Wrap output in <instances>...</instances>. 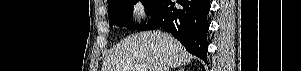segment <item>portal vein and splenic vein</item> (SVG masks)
Returning a JSON list of instances; mask_svg holds the SVG:
<instances>
[{"instance_id":"18ae733b","label":"portal vein and splenic vein","mask_w":301,"mask_h":71,"mask_svg":"<svg viewBox=\"0 0 301 71\" xmlns=\"http://www.w3.org/2000/svg\"><path fill=\"white\" fill-rule=\"evenodd\" d=\"M134 68H136L138 71H148V69L144 65H135Z\"/></svg>"}]
</instances>
